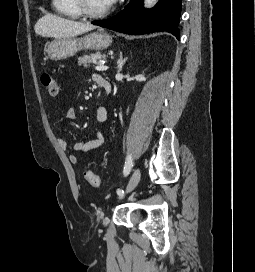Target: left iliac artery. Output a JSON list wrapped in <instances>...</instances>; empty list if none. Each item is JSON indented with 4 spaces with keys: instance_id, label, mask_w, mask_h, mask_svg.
Returning a JSON list of instances; mask_svg holds the SVG:
<instances>
[{
    "instance_id": "1",
    "label": "left iliac artery",
    "mask_w": 255,
    "mask_h": 272,
    "mask_svg": "<svg viewBox=\"0 0 255 272\" xmlns=\"http://www.w3.org/2000/svg\"><path fill=\"white\" fill-rule=\"evenodd\" d=\"M133 167V159L131 155H128L126 158L125 166H124V176H127L130 172V170ZM117 194L124 195L123 190H117Z\"/></svg>"
}]
</instances>
